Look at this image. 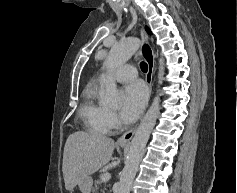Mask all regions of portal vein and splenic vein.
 <instances>
[{
  "label": "portal vein and splenic vein",
  "mask_w": 237,
  "mask_h": 193,
  "mask_svg": "<svg viewBox=\"0 0 237 193\" xmlns=\"http://www.w3.org/2000/svg\"><path fill=\"white\" fill-rule=\"evenodd\" d=\"M110 178H111L110 173L106 172V173H104L103 176H102V181H103V182H106V181H108Z\"/></svg>",
  "instance_id": "portal-vein-and-splenic-vein-1"
}]
</instances>
